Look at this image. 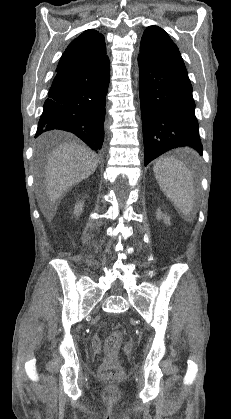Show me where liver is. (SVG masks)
Segmentation results:
<instances>
[{
    "instance_id": "1",
    "label": "liver",
    "mask_w": 231,
    "mask_h": 419,
    "mask_svg": "<svg viewBox=\"0 0 231 419\" xmlns=\"http://www.w3.org/2000/svg\"><path fill=\"white\" fill-rule=\"evenodd\" d=\"M47 137L41 139L46 141ZM98 166L96 155L88 148L64 143L48 158L45 171L46 202L41 211L50 220L56 212L55 204L73 186L92 175Z\"/></svg>"
}]
</instances>
